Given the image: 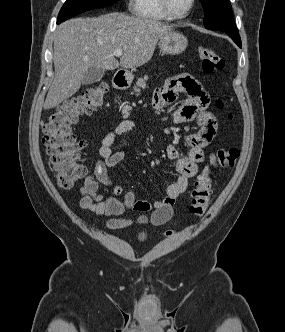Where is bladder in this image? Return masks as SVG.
<instances>
[{
  "mask_svg": "<svg viewBox=\"0 0 285 332\" xmlns=\"http://www.w3.org/2000/svg\"><path fill=\"white\" fill-rule=\"evenodd\" d=\"M147 237H148V235L145 234V233H143V234L140 235V239H141V240H146Z\"/></svg>",
  "mask_w": 285,
  "mask_h": 332,
  "instance_id": "1",
  "label": "bladder"
}]
</instances>
